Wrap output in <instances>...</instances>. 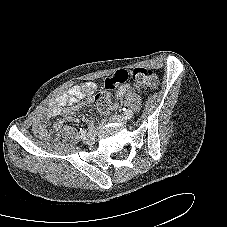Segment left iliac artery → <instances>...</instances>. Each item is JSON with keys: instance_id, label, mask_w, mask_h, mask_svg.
Instances as JSON below:
<instances>
[{"instance_id": "left-iliac-artery-1", "label": "left iliac artery", "mask_w": 227, "mask_h": 227, "mask_svg": "<svg viewBox=\"0 0 227 227\" xmlns=\"http://www.w3.org/2000/svg\"><path fill=\"white\" fill-rule=\"evenodd\" d=\"M123 111H124V115L125 116H131V115H133V112L130 109L123 108Z\"/></svg>"}]
</instances>
